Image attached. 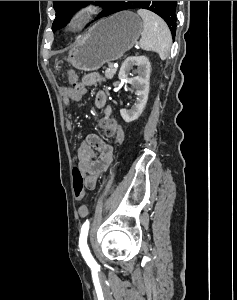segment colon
<instances>
[{"label":"colon","mask_w":237,"mask_h":300,"mask_svg":"<svg viewBox=\"0 0 237 300\" xmlns=\"http://www.w3.org/2000/svg\"><path fill=\"white\" fill-rule=\"evenodd\" d=\"M72 88L78 94H83L84 92V86L81 83L73 84ZM73 187L76 198L78 200H82L85 197L84 177L82 172L78 168L73 169Z\"/></svg>","instance_id":"1"}]
</instances>
